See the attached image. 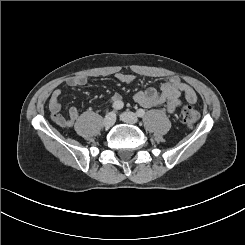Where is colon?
Listing matches in <instances>:
<instances>
[{"instance_id": "obj_1", "label": "colon", "mask_w": 245, "mask_h": 245, "mask_svg": "<svg viewBox=\"0 0 245 245\" xmlns=\"http://www.w3.org/2000/svg\"><path fill=\"white\" fill-rule=\"evenodd\" d=\"M199 119V113L190 105L186 104L182 108V120L186 126H193Z\"/></svg>"}]
</instances>
